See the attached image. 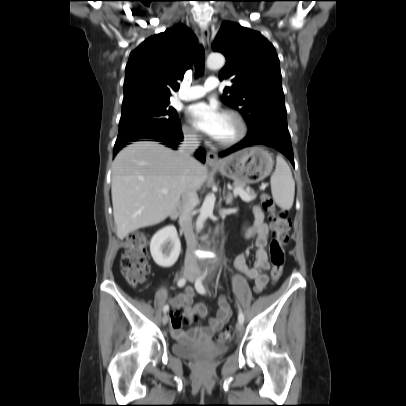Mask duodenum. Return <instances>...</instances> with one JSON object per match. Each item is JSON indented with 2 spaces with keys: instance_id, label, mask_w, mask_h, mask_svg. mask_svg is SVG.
I'll return each instance as SVG.
<instances>
[{
  "instance_id": "duodenum-1",
  "label": "duodenum",
  "mask_w": 406,
  "mask_h": 406,
  "mask_svg": "<svg viewBox=\"0 0 406 406\" xmlns=\"http://www.w3.org/2000/svg\"><path fill=\"white\" fill-rule=\"evenodd\" d=\"M178 215H179V211L178 210H175L172 214H171V217H170V219L173 221V220H176L177 218H178Z\"/></svg>"
}]
</instances>
